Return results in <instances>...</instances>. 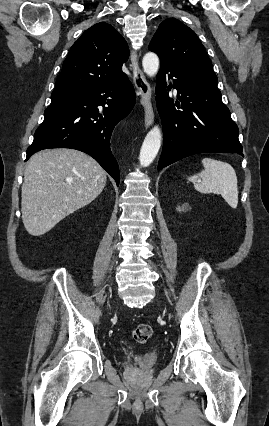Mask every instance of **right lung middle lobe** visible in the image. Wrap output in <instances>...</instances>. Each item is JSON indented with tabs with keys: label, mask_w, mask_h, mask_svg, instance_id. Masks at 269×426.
Wrapping results in <instances>:
<instances>
[{
	"label": "right lung middle lobe",
	"mask_w": 269,
	"mask_h": 426,
	"mask_svg": "<svg viewBox=\"0 0 269 426\" xmlns=\"http://www.w3.org/2000/svg\"><path fill=\"white\" fill-rule=\"evenodd\" d=\"M76 92H52L51 94V104L49 107L56 106L61 104L69 99H71Z\"/></svg>",
	"instance_id": "right-lung-middle-lobe-1"
}]
</instances>
